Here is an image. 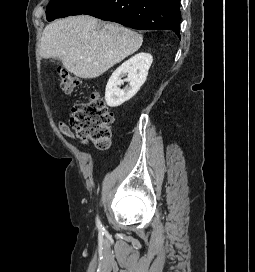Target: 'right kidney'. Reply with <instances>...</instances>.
I'll use <instances>...</instances> for the list:
<instances>
[{
    "instance_id": "1",
    "label": "right kidney",
    "mask_w": 255,
    "mask_h": 272,
    "mask_svg": "<svg viewBox=\"0 0 255 272\" xmlns=\"http://www.w3.org/2000/svg\"><path fill=\"white\" fill-rule=\"evenodd\" d=\"M153 62L149 53H138L119 66L109 78L105 90V101L110 107H118L131 99L146 81L148 70ZM127 78L122 80L123 76ZM129 83V87L120 89L119 86Z\"/></svg>"
}]
</instances>
